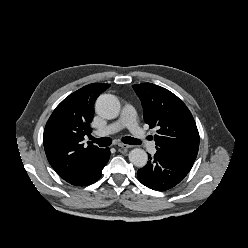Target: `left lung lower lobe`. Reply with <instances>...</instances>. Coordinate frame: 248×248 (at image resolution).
<instances>
[{"label": "left lung lower lobe", "instance_id": "1", "mask_svg": "<svg viewBox=\"0 0 248 248\" xmlns=\"http://www.w3.org/2000/svg\"><path fill=\"white\" fill-rule=\"evenodd\" d=\"M138 170L139 181L150 189L165 191L180 183L191 170L193 163L156 152L153 158Z\"/></svg>", "mask_w": 248, "mask_h": 248}]
</instances>
